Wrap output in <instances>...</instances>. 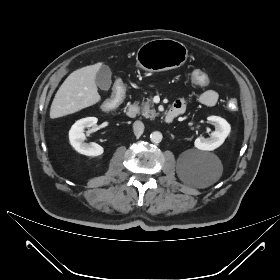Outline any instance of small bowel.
Listing matches in <instances>:
<instances>
[{"label":"small bowel","mask_w":280,"mask_h":280,"mask_svg":"<svg viewBox=\"0 0 280 280\" xmlns=\"http://www.w3.org/2000/svg\"><path fill=\"white\" fill-rule=\"evenodd\" d=\"M218 94L213 90H204L202 91L199 96L198 100L201 104L205 106H214L218 102ZM172 107L180 108L182 111L185 109V102L183 100H176Z\"/></svg>","instance_id":"c3829d8e"}]
</instances>
